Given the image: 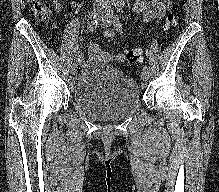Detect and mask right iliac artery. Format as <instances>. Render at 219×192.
I'll return each mask as SVG.
<instances>
[{"label":"right iliac artery","mask_w":219,"mask_h":192,"mask_svg":"<svg viewBox=\"0 0 219 192\" xmlns=\"http://www.w3.org/2000/svg\"><path fill=\"white\" fill-rule=\"evenodd\" d=\"M90 18L92 19V21L89 23V25H88V32H93L96 28H97V26H98V18H95L94 16H93V14H91L90 15ZM82 54H76L75 55V57H74V60H76V61H81L82 60Z\"/></svg>","instance_id":"1"}]
</instances>
